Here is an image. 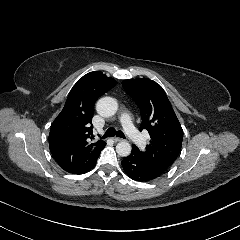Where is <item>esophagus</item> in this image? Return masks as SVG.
<instances>
[{
	"label": "esophagus",
	"mask_w": 240,
	"mask_h": 240,
	"mask_svg": "<svg viewBox=\"0 0 240 240\" xmlns=\"http://www.w3.org/2000/svg\"><path fill=\"white\" fill-rule=\"evenodd\" d=\"M113 140H114V142H120V141H123L122 138H118V137L113 138Z\"/></svg>",
	"instance_id": "1"
}]
</instances>
